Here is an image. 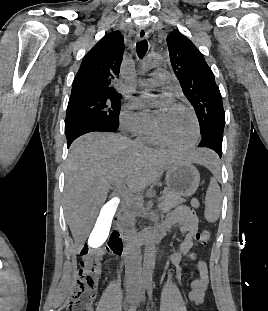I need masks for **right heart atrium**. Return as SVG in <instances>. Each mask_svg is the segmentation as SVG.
Returning <instances> with one entry per match:
<instances>
[{
	"mask_svg": "<svg viewBox=\"0 0 268 311\" xmlns=\"http://www.w3.org/2000/svg\"><path fill=\"white\" fill-rule=\"evenodd\" d=\"M120 126L124 132L139 136L152 128V119L147 111L128 103L121 111Z\"/></svg>",
	"mask_w": 268,
	"mask_h": 311,
	"instance_id": "1",
	"label": "right heart atrium"
}]
</instances>
